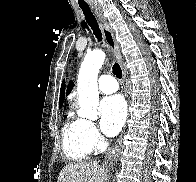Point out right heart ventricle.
Masks as SVG:
<instances>
[{
    "instance_id": "1",
    "label": "right heart ventricle",
    "mask_w": 196,
    "mask_h": 182,
    "mask_svg": "<svg viewBox=\"0 0 196 182\" xmlns=\"http://www.w3.org/2000/svg\"><path fill=\"white\" fill-rule=\"evenodd\" d=\"M62 145L67 158L82 161L91 153L84 136V120L70 115L62 127Z\"/></svg>"
}]
</instances>
